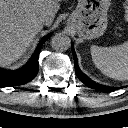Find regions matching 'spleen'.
Segmentation results:
<instances>
[{"mask_svg":"<svg viewBox=\"0 0 128 128\" xmlns=\"http://www.w3.org/2000/svg\"><path fill=\"white\" fill-rule=\"evenodd\" d=\"M92 60L105 75L128 80V41L113 47L91 46Z\"/></svg>","mask_w":128,"mask_h":128,"instance_id":"1","label":"spleen"}]
</instances>
